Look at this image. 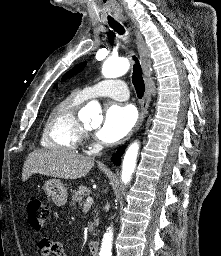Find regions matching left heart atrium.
Segmentation results:
<instances>
[{
	"mask_svg": "<svg viewBox=\"0 0 221 256\" xmlns=\"http://www.w3.org/2000/svg\"><path fill=\"white\" fill-rule=\"evenodd\" d=\"M136 118V112L132 106L111 104L105 111L103 124L96 136L104 143L117 142L132 129Z\"/></svg>",
	"mask_w": 221,
	"mask_h": 256,
	"instance_id": "left-heart-atrium-1",
	"label": "left heart atrium"
}]
</instances>
